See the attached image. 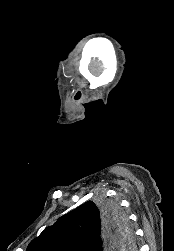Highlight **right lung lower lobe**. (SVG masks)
Here are the masks:
<instances>
[{"mask_svg": "<svg viewBox=\"0 0 174 251\" xmlns=\"http://www.w3.org/2000/svg\"><path fill=\"white\" fill-rule=\"evenodd\" d=\"M114 233H115V227L105 218L103 220V234L101 237V243L103 247L112 246ZM106 250L107 249H104L103 251ZM108 250L115 251V249H110V248Z\"/></svg>", "mask_w": 174, "mask_h": 251, "instance_id": "obj_1", "label": "right lung lower lobe"}]
</instances>
